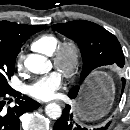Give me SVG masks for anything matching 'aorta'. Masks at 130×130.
I'll return each mask as SVG.
<instances>
[{"mask_svg": "<svg viewBox=\"0 0 130 130\" xmlns=\"http://www.w3.org/2000/svg\"><path fill=\"white\" fill-rule=\"evenodd\" d=\"M25 67L32 73L44 74L50 71L51 64L45 56L38 54H29L25 61ZM45 113L52 119H57L62 114L61 107L56 103H49L45 107Z\"/></svg>", "mask_w": 130, "mask_h": 130, "instance_id": "obj_1", "label": "aorta"}]
</instances>
